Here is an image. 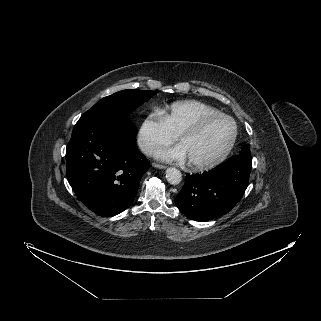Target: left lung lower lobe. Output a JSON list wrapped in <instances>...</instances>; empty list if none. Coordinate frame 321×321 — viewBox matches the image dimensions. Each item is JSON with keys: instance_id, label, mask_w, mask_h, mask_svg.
Returning a JSON list of instances; mask_svg holds the SVG:
<instances>
[{"instance_id": "1", "label": "left lung lower lobe", "mask_w": 321, "mask_h": 321, "mask_svg": "<svg viewBox=\"0 0 321 321\" xmlns=\"http://www.w3.org/2000/svg\"><path fill=\"white\" fill-rule=\"evenodd\" d=\"M251 167V157L239 154L208 172L187 175L176 196V206L196 221H208L228 213L243 196Z\"/></svg>"}]
</instances>
